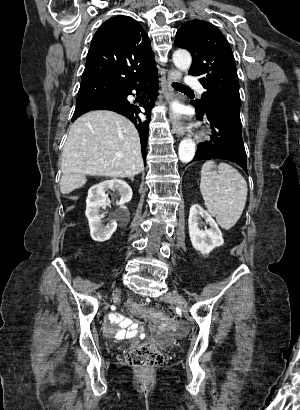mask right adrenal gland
Returning <instances> with one entry per match:
<instances>
[{
	"label": "right adrenal gland",
	"mask_w": 300,
	"mask_h": 410,
	"mask_svg": "<svg viewBox=\"0 0 300 410\" xmlns=\"http://www.w3.org/2000/svg\"><path fill=\"white\" fill-rule=\"evenodd\" d=\"M130 179H131V181H133L134 180V177H129Z\"/></svg>",
	"instance_id": "obj_1"
}]
</instances>
